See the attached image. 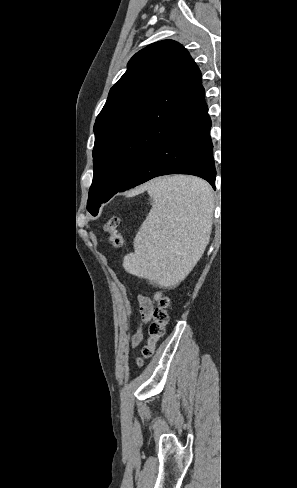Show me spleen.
<instances>
[{
  "label": "spleen",
  "mask_w": 297,
  "mask_h": 488,
  "mask_svg": "<svg viewBox=\"0 0 297 488\" xmlns=\"http://www.w3.org/2000/svg\"><path fill=\"white\" fill-rule=\"evenodd\" d=\"M152 208L135 239L124 269L161 285L184 278L211 229L213 195L203 180L190 176L158 178L147 187Z\"/></svg>",
  "instance_id": "spleen-1"
}]
</instances>
